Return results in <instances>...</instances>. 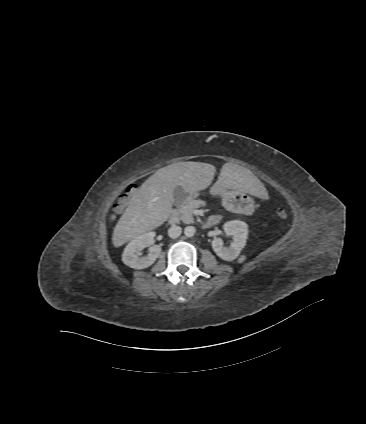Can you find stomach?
Here are the masks:
<instances>
[{"instance_id": "obj_1", "label": "stomach", "mask_w": 366, "mask_h": 424, "mask_svg": "<svg viewBox=\"0 0 366 424\" xmlns=\"http://www.w3.org/2000/svg\"><path fill=\"white\" fill-rule=\"evenodd\" d=\"M210 193L214 196H221L222 205L230 212H238V208L235 206L236 201H245L251 208L253 205L252 198L247 193L225 189L216 183L211 186Z\"/></svg>"}]
</instances>
